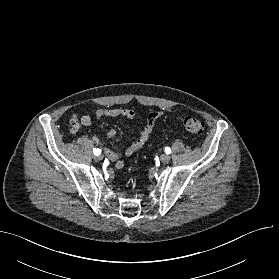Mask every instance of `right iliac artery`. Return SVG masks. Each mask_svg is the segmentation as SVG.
I'll return each instance as SVG.
<instances>
[{
  "label": "right iliac artery",
  "instance_id": "obj_1",
  "mask_svg": "<svg viewBox=\"0 0 279 279\" xmlns=\"http://www.w3.org/2000/svg\"><path fill=\"white\" fill-rule=\"evenodd\" d=\"M93 153L94 155H99L101 153V150L97 149H93Z\"/></svg>",
  "mask_w": 279,
  "mask_h": 279
}]
</instances>
